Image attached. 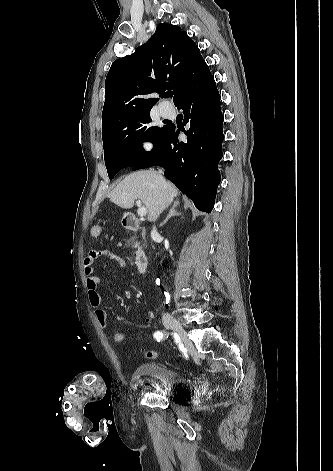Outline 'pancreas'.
I'll return each mask as SVG.
<instances>
[{
	"label": "pancreas",
	"instance_id": "cf45deb5",
	"mask_svg": "<svg viewBox=\"0 0 333 471\" xmlns=\"http://www.w3.org/2000/svg\"><path fill=\"white\" fill-rule=\"evenodd\" d=\"M133 241H134V238H133V237H131L129 240H127V245H129V244L133 243Z\"/></svg>",
	"mask_w": 333,
	"mask_h": 471
}]
</instances>
